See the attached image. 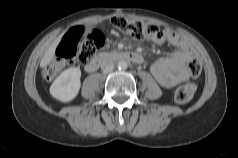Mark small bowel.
<instances>
[{
    "instance_id": "obj_1",
    "label": "small bowel",
    "mask_w": 238,
    "mask_h": 158,
    "mask_svg": "<svg viewBox=\"0 0 238 158\" xmlns=\"http://www.w3.org/2000/svg\"><path fill=\"white\" fill-rule=\"evenodd\" d=\"M156 44L169 43L176 50L166 57H161L150 66L151 73L165 88H173L189 78L186 64L196 56L195 50L179 34L172 30H164L153 39Z\"/></svg>"
}]
</instances>
